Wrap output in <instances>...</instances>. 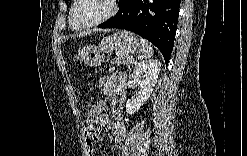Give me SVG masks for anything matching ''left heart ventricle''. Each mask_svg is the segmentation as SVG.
<instances>
[{
  "label": "left heart ventricle",
  "mask_w": 247,
  "mask_h": 156,
  "mask_svg": "<svg viewBox=\"0 0 247 156\" xmlns=\"http://www.w3.org/2000/svg\"><path fill=\"white\" fill-rule=\"evenodd\" d=\"M108 2L103 0H83L74 13V22L77 25L91 23L107 13Z\"/></svg>",
  "instance_id": "left-heart-ventricle-1"
}]
</instances>
